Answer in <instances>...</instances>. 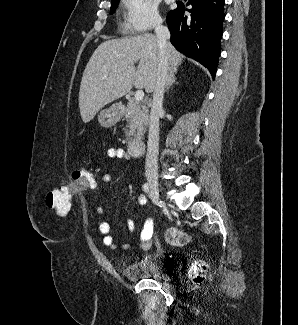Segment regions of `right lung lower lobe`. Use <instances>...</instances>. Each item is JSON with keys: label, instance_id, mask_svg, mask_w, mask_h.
<instances>
[{"label": "right lung lower lobe", "instance_id": "right-lung-lower-lobe-1", "mask_svg": "<svg viewBox=\"0 0 298 325\" xmlns=\"http://www.w3.org/2000/svg\"><path fill=\"white\" fill-rule=\"evenodd\" d=\"M225 0H189L191 9L183 5L170 11L167 24L171 33V43L175 48L210 71L212 77L218 65L220 40L223 31ZM187 10L191 14L184 16Z\"/></svg>", "mask_w": 298, "mask_h": 325}]
</instances>
